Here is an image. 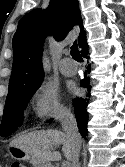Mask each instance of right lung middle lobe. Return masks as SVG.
Segmentation results:
<instances>
[{
    "label": "right lung middle lobe",
    "mask_w": 125,
    "mask_h": 167,
    "mask_svg": "<svg viewBox=\"0 0 125 167\" xmlns=\"http://www.w3.org/2000/svg\"><path fill=\"white\" fill-rule=\"evenodd\" d=\"M39 87L6 99L3 118L0 126V135L5 137L17 130L23 122V110L26 108L32 95Z\"/></svg>",
    "instance_id": "1"
}]
</instances>
